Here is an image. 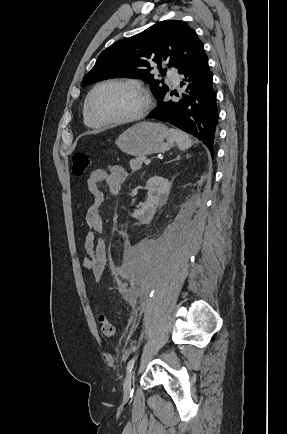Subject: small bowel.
I'll use <instances>...</instances> for the list:
<instances>
[{"label": "small bowel", "mask_w": 287, "mask_h": 434, "mask_svg": "<svg viewBox=\"0 0 287 434\" xmlns=\"http://www.w3.org/2000/svg\"><path fill=\"white\" fill-rule=\"evenodd\" d=\"M127 177L123 167L112 165L108 169H95L89 175L87 187L94 197L85 212V222L89 229L84 239L85 257L82 261L84 268L90 270L96 278H100L107 263L106 246L100 237L104 232L101 217V207L105 200V193L101 183H106L110 194L116 195Z\"/></svg>", "instance_id": "small-bowel-1"}]
</instances>
